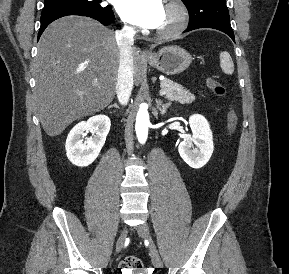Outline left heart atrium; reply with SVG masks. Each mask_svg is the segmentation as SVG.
<instances>
[{
  "instance_id": "39dd6f15",
  "label": "left heart atrium",
  "mask_w": 289,
  "mask_h": 274,
  "mask_svg": "<svg viewBox=\"0 0 289 274\" xmlns=\"http://www.w3.org/2000/svg\"><path fill=\"white\" fill-rule=\"evenodd\" d=\"M117 10L120 16L135 25L145 28H157L163 18L162 0H118Z\"/></svg>"
}]
</instances>
